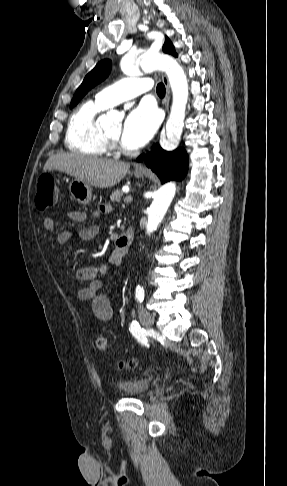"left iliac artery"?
Returning <instances> with one entry per match:
<instances>
[{
	"instance_id": "1",
	"label": "left iliac artery",
	"mask_w": 287,
	"mask_h": 486,
	"mask_svg": "<svg viewBox=\"0 0 287 486\" xmlns=\"http://www.w3.org/2000/svg\"><path fill=\"white\" fill-rule=\"evenodd\" d=\"M144 296H145V293H144L143 287L138 286L136 288V293H135V297H136L137 301L141 303L143 301V299H144ZM129 330L132 333V335L141 344L147 345V339L145 337L144 330L140 328L139 324L136 321H133L131 323Z\"/></svg>"
}]
</instances>
